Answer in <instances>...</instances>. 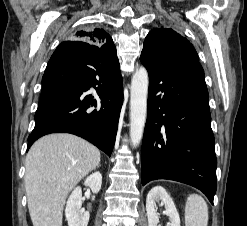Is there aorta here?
Returning <instances> with one entry per match:
<instances>
[{
    "instance_id": "obj_1",
    "label": "aorta",
    "mask_w": 247,
    "mask_h": 226,
    "mask_svg": "<svg viewBox=\"0 0 247 226\" xmlns=\"http://www.w3.org/2000/svg\"><path fill=\"white\" fill-rule=\"evenodd\" d=\"M149 77L144 67L133 74L130 90V140L133 147L139 145L147 115Z\"/></svg>"
}]
</instances>
